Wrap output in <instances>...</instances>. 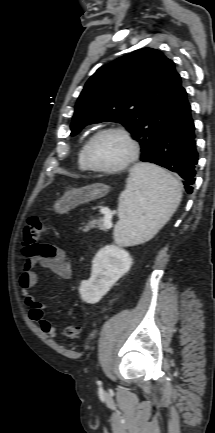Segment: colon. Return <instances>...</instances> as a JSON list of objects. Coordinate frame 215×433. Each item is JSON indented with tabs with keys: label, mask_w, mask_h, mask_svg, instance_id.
<instances>
[{
	"label": "colon",
	"mask_w": 215,
	"mask_h": 433,
	"mask_svg": "<svg viewBox=\"0 0 215 433\" xmlns=\"http://www.w3.org/2000/svg\"><path fill=\"white\" fill-rule=\"evenodd\" d=\"M46 231L44 222L37 217H30L24 227L23 243L25 245L24 253L32 254L33 249L38 245L40 239ZM81 327L77 324L68 325L64 330V336L69 340L77 339L80 335Z\"/></svg>",
	"instance_id": "5ec220e1"
}]
</instances>
